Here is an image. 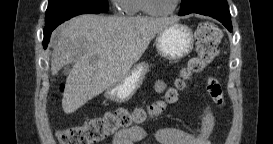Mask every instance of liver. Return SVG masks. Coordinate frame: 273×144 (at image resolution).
Wrapping results in <instances>:
<instances>
[{"label": "liver", "mask_w": 273, "mask_h": 144, "mask_svg": "<svg viewBox=\"0 0 273 144\" xmlns=\"http://www.w3.org/2000/svg\"><path fill=\"white\" fill-rule=\"evenodd\" d=\"M175 18L80 15L62 24L51 55V73L75 62L66 80L62 108L71 114L120 82L148 45Z\"/></svg>", "instance_id": "6515ba94"}]
</instances>
